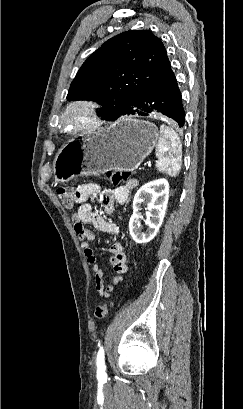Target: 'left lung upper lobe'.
I'll return each mask as SVG.
<instances>
[{"label":"left lung upper lobe","instance_id":"1","mask_svg":"<svg viewBox=\"0 0 243 409\" xmlns=\"http://www.w3.org/2000/svg\"><path fill=\"white\" fill-rule=\"evenodd\" d=\"M171 70L162 41L148 30L114 36L81 66L68 100H93L104 108V119L118 116L147 88Z\"/></svg>","mask_w":243,"mask_h":409}]
</instances>
